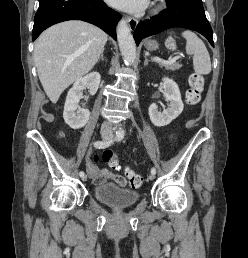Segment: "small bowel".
Segmentation results:
<instances>
[{
    "mask_svg": "<svg viewBox=\"0 0 248 258\" xmlns=\"http://www.w3.org/2000/svg\"><path fill=\"white\" fill-rule=\"evenodd\" d=\"M95 168H96V173H90V177H91V180H92L93 183L103 184L107 180H111V181H113L114 183L118 184L121 187L127 186V180L124 176L114 174L107 169L99 170L96 165H95Z\"/></svg>",
    "mask_w": 248,
    "mask_h": 258,
    "instance_id": "obj_1",
    "label": "small bowel"
}]
</instances>
